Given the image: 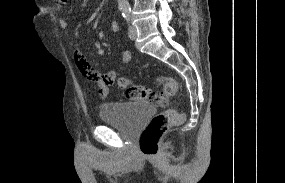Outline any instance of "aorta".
<instances>
[{
  "label": "aorta",
  "mask_w": 285,
  "mask_h": 183,
  "mask_svg": "<svg viewBox=\"0 0 285 183\" xmlns=\"http://www.w3.org/2000/svg\"><path fill=\"white\" fill-rule=\"evenodd\" d=\"M118 6L120 9H125L129 6L128 0H118Z\"/></svg>",
  "instance_id": "aorta-1"
}]
</instances>
